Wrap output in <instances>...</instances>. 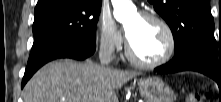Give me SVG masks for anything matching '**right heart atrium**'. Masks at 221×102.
I'll return each instance as SVG.
<instances>
[{
	"label": "right heart atrium",
	"instance_id": "obj_1",
	"mask_svg": "<svg viewBox=\"0 0 221 102\" xmlns=\"http://www.w3.org/2000/svg\"><path fill=\"white\" fill-rule=\"evenodd\" d=\"M98 40L101 48L106 51H116L122 43L118 27L109 14H102L98 23Z\"/></svg>",
	"mask_w": 221,
	"mask_h": 102
}]
</instances>
